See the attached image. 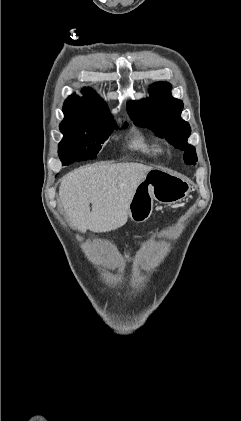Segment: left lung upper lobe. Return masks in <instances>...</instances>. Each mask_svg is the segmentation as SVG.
<instances>
[{
  "instance_id": "5c2ea615",
  "label": "left lung upper lobe",
  "mask_w": 241,
  "mask_h": 421,
  "mask_svg": "<svg viewBox=\"0 0 241 421\" xmlns=\"http://www.w3.org/2000/svg\"><path fill=\"white\" fill-rule=\"evenodd\" d=\"M171 85L165 82L154 83L150 88V97L130 102L129 110L132 120L142 127L153 130L157 136L164 137L175 148L184 151L186 164L195 165L197 161L195 148L187 143L191 128L180 114L183 110L181 100L170 94ZM141 117L140 119H138Z\"/></svg>"
}]
</instances>
